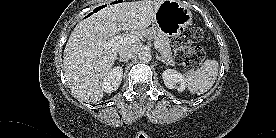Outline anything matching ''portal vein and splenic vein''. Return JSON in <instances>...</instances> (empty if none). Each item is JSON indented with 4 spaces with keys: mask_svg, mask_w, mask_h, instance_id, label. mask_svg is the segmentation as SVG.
Listing matches in <instances>:
<instances>
[{
    "mask_svg": "<svg viewBox=\"0 0 276 138\" xmlns=\"http://www.w3.org/2000/svg\"><path fill=\"white\" fill-rule=\"evenodd\" d=\"M140 40H139V37L136 36V35H125V36H114L110 41L106 42L105 44L108 46V47H111V46H118L120 44H123V43H128V44H131V43H138ZM155 46V49L158 48V44L155 43L154 44Z\"/></svg>",
    "mask_w": 276,
    "mask_h": 138,
    "instance_id": "portal-vein-and-splenic-vein-1",
    "label": "portal vein and splenic vein"
}]
</instances>
